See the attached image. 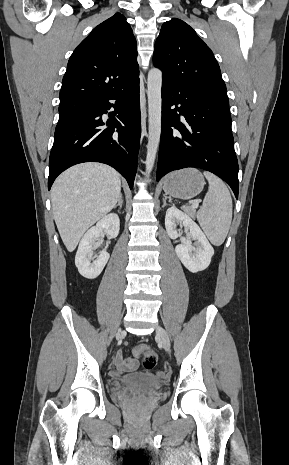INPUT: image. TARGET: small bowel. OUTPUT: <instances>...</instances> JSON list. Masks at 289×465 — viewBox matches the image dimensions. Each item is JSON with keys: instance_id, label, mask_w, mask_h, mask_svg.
<instances>
[{"instance_id": "small-bowel-1", "label": "small bowel", "mask_w": 289, "mask_h": 465, "mask_svg": "<svg viewBox=\"0 0 289 465\" xmlns=\"http://www.w3.org/2000/svg\"><path fill=\"white\" fill-rule=\"evenodd\" d=\"M115 364L118 371H133L137 368V361L125 356L123 351H119L115 356Z\"/></svg>"}]
</instances>
